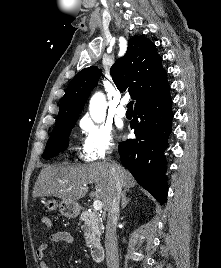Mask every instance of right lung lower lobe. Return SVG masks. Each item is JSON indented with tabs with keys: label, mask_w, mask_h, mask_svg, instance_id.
Instances as JSON below:
<instances>
[{
	"label": "right lung lower lobe",
	"mask_w": 221,
	"mask_h": 268,
	"mask_svg": "<svg viewBox=\"0 0 221 268\" xmlns=\"http://www.w3.org/2000/svg\"><path fill=\"white\" fill-rule=\"evenodd\" d=\"M171 105L168 90L135 107V119L130 127L136 138L120 142L118 146L122 164L161 204L166 202L168 194L164 151L172 131Z\"/></svg>",
	"instance_id": "obj_1"
}]
</instances>
